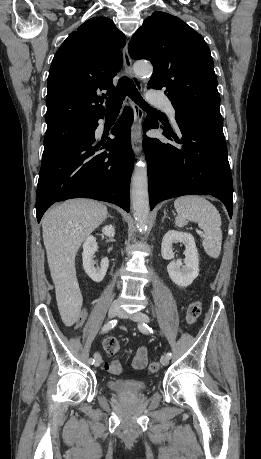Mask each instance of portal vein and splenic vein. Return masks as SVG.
Instances as JSON below:
<instances>
[{
  "mask_svg": "<svg viewBox=\"0 0 261 459\" xmlns=\"http://www.w3.org/2000/svg\"><path fill=\"white\" fill-rule=\"evenodd\" d=\"M198 234H199L200 236H204V234H203L202 231H198Z\"/></svg>",
  "mask_w": 261,
  "mask_h": 459,
  "instance_id": "obj_1",
  "label": "portal vein and splenic vein"
}]
</instances>
